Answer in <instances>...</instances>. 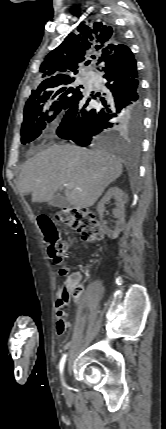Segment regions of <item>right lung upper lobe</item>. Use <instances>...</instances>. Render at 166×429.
<instances>
[{"label": "right lung upper lobe", "instance_id": "obj_1", "mask_svg": "<svg viewBox=\"0 0 166 429\" xmlns=\"http://www.w3.org/2000/svg\"><path fill=\"white\" fill-rule=\"evenodd\" d=\"M123 46L109 27H103L101 23L94 27L82 24L78 32L70 33L46 56L39 70L44 80L38 88L54 85L77 74L79 63L90 53H96L99 61L103 56L118 52Z\"/></svg>", "mask_w": 166, "mask_h": 429}]
</instances>
